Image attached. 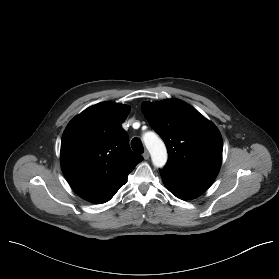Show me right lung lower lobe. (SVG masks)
<instances>
[{
  "label": "right lung lower lobe",
  "instance_id": "right-lung-lower-lobe-1",
  "mask_svg": "<svg viewBox=\"0 0 279 279\" xmlns=\"http://www.w3.org/2000/svg\"><path fill=\"white\" fill-rule=\"evenodd\" d=\"M115 193H116V192H115ZM115 193L111 194V195L108 196V197H105V198L101 199L100 201H98V202H96V203H105V202L109 201V200L113 197V195H114Z\"/></svg>",
  "mask_w": 279,
  "mask_h": 279
}]
</instances>
